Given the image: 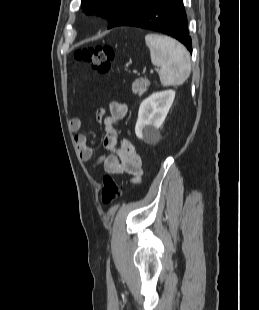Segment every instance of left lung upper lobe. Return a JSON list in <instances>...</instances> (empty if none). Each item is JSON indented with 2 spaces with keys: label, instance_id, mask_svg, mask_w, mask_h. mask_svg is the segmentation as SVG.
<instances>
[{
  "label": "left lung upper lobe",
  "instance_id": "1",
  "mask_svg": "<svg viewBox=\"0 0 259 310\" xmlns=\"http://www.w3.org/2000/svg\"><path fill=\"white\" fill-rule=\"evenodd\" d=\"M149 0H81L82 10L88 15L106 18L112 28L126 13Z\"/></svg>",
  "mask_w": 259,
  "mask_h": 310
}]
</instances>
